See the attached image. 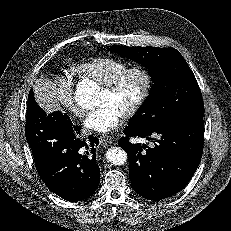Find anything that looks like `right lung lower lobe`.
Listing matches in <instances>:
<instances>
[{
    "label": "right lung lower lobe",
    "mask_w": 231,
    "mask_h": 231,
    "mask_svg": "<svg viewBox=\"0 0 231 231\" xmlns=\"http://www.w3.org/2000/svg\"><path fill=\"white\" fill-rule=\"evenodd\" d=\"M80 129L60 111L47 115L30 91L25 134L37 172L52 192L72 202L91 196L100 182L95 155L99 140L91 135L82 141Z\"/></svg>",
    "instance_id": "1"
}]
</instances>
